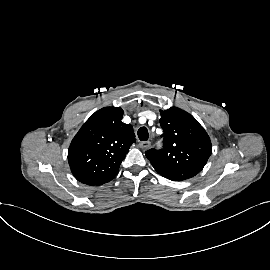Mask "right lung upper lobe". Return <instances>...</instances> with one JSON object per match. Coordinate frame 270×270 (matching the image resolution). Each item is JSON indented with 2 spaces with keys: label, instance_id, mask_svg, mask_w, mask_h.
<instances>
[{
  "label": "right lung upper lobe",
  "instance_id": "cb5924a9",
  "mask_svg": "<svg viewBox=\"0 0 270 270\" xmlns=\"http://www.w3.org/2000/svg\"><path fill=\"white\" fill-rule=\"evenodd\" d=\"M120 107H105L95 112L73 138L68 162L74 177L87 185L111 181L132 143L131 124L123 123Z\"/></svg>",
  "mask_w": 270,
  "mask_h": 270
}]
</instances>
